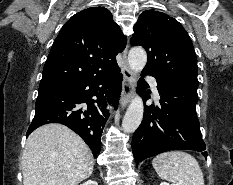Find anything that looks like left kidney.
Segmentation results:
<instances>
[{
	"mask_svg": "<svg viewBox=\"0 0 233 185\" xmlns=\"http://www.w3.org/2000/svg\"><path fill=\"white\" fill-rule=\"evenodd\" d=\"M160 185H173V184H169L167 182H162Z\"/></svg>",
	"mask_w": 233,
	"mask_h": 185,
	"instance_id": "1",
	"label": "left kidney"
}]
</instances>
